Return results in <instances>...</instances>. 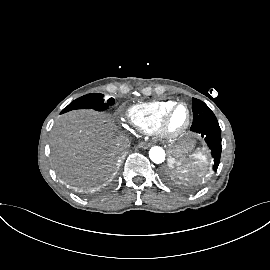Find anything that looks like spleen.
<instances>
[{
    "label": "spleen",
    "instance_id": "3e777b00",
    "mask_svg": "<svg viewBox=\"0 0 270 270\" xmlns=\"http://www.w3.org/2000/svg\"><path fill=\"white\" fill-rule=\"evenodd\" d=\"M196 161L193 164H188L183 160V165L186 167L187 170L191 169L194 170L199 164H202L206 161V156L203 152H198L194 155Z\"/></svg>",
    "mask_w": 270,
    "mask_h": 270
}]
</instances>
